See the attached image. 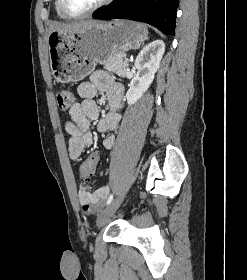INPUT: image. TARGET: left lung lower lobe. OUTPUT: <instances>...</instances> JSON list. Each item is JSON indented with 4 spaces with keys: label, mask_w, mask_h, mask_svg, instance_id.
Here are the masks:
<instances>
[{
    "label": "left lung lower lobe",
    "mask_w": 247,
    "mask_h": 280,
    "mask_svg": "<svg viewBox=\"0 0 247 280\" xmlns=\"http://www.w3.org/2000/svg\"><path fill=\"white\" fill-rule=\"evenodd\" d=\"M178 6V0H113L93 18L141 21L158 28L165 35H174Z\"/></svg>",
    "instance_id": "1"
}]
</instances>
